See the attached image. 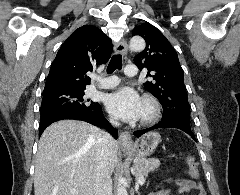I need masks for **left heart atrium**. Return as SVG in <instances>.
I'll use <instances>...</instances> for the list:
<instances>
[{"label":"left heart atrium","mask_w":240,"mask_h":195,"mask_svg":"<svg viewBox=\"0 0 240 195\" xmlns=\"http://www.w3.org/2000/svg\"><path fill=\"white\" fill-rule=\"evenodd\" d=\"M107 106L121 119L136 121L141 114L142 102L137 92L122 88L108 96Z\"/></svg>","instance_id":"39dd6f15"}]
</instances>
